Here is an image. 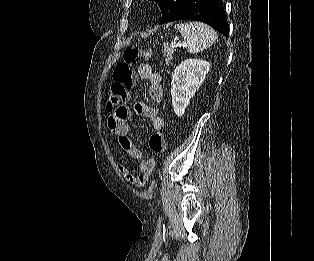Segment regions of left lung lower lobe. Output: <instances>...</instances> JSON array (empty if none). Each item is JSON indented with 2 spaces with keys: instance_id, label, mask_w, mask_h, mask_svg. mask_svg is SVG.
I'll use <instances>...</instances> for the list:
<instances>
[{
  "instance_id": "obj_1",
  "label": "left lung lower lobe",
  "mask_w": 314,
  "mask_h": 261,
  "mask_svg": "<svg viewBox=\"0 0 314 261\" xmlns=\"http://www.w3.org/2000/svg\"><path fill=\"white\" fill-rule=\"evenodd\" d=\"M177 20L205 22L223 35L229 36L222 0H184L169 22Z\"/></svg>"
}]
</instances>
